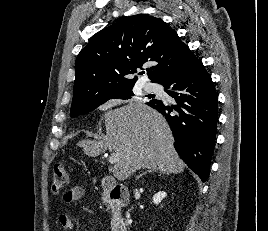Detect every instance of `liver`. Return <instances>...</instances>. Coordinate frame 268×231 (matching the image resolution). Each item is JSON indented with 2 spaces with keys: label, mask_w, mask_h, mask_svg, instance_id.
<instances>
[{
  "label": "liver",
  "mask_w": 268,
  "mask_h": 231,
  "mask_svg": "<svg viewBox=\"0 0 268 231\" xmlns=\"http://www.w3.org/2000/svg\"><path fill=\"white\" fill-rule=\"evenodd\" d=\"M106 135L101 140L78 143L84 153L97 156L107 149L119 158L113 175L120 181L136 170L156 169L179 174L185 163L174 149V138L164 117L150 106L132 100L104 115Z\"/></svg>",
  "instance_id": "6515ba94"
}]
</instances>
